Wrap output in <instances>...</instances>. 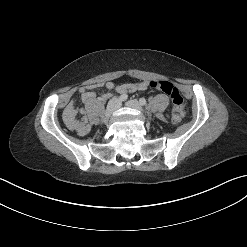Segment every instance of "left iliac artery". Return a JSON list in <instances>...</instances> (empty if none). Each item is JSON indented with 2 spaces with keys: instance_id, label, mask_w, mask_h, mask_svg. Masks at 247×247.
<instances>
[{
  "instance_id": "left-iliac-artery-1",
  "label": "left iliac artery",
  "mask_w": 247,
  "mask_h": 247,
  "mask_svg": "<svg viewBox=\"0 0 247 247\" xmlns=\"http://www.w3.org/2000/svg\"><path fill=\"white\" fill-rule=\"evenodd\" d=\"M139 103L144 106L146 105V100L144 98H140Z\"/></svg>"
}]
</instances>
